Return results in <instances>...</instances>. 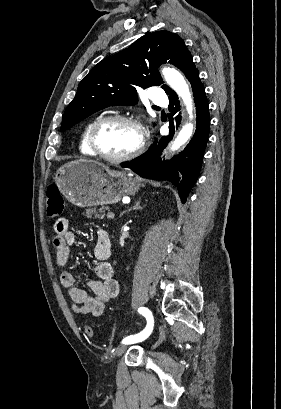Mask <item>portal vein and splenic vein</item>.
<instances>
[{
	"label": "portal vein and splenic vein",
	"mask_w": 281,
	"mask_h": 409,
	"mask_svg": "<svg viewBox=\"0 0 281 409\" xmlns=\"http://www.w3.org/2000/svg\"><path fill=\"white\" fill-rule=\"evenodd\" d=\"M107 219H114V213L113 212H108L106 213Z\"/></svg>",
	"instance_id": "obj_1"
}]
</instances>
